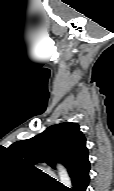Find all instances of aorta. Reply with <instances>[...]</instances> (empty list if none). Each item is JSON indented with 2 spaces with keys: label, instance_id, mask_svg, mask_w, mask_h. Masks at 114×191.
<instances>
[{
  "label": "aorta",
  "instance_id": "762f6f07",
  "mask_svg": "<svg viewBox=\"0 0 114 191\" xmlns=\"http://www.w3.org/2000/svg\"><path fill=\"white\" fill-rule=\"evenodd\" d=\"M57 169L60 182L66 187H71V179L65 167L59 164Z\"/></svg>",
  "mask_w": 114,
  "mask_h": 191
}]
</instances>
